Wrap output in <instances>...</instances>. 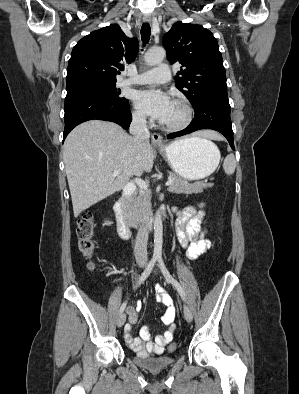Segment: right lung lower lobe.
<instances>
[{"mask_svg":"<svg viewBox=\"0 0 299 394\" xmlns=\"http://www.w3.org/2000/svg\"><path fill=\"white\" fill-rule=\"evenodd\" d=\"M64 110L63 140L75 126L88 120L112 121L124 129H128L132 121L128 100L117 104L110 97L98 93L85 92L67 95Z\"/></svg>","mask_w":299,"mask_h":394,"instance_id":"98d812e1","label":"right lung lower lobe"}]
</instances>
